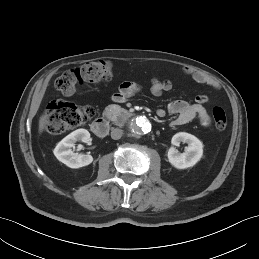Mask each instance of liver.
Segmentation results:
<instances>
[{"instance_id": "6515ba94", "label": "liver", "mask_w": 259, "mask_h": 259, "mask_svg": "<svg viewBox=\"0 0 259 259\" xmlns=\"http://www.w3.org/2000/svg\"><path fill=\"white\" fill-rule=\"evenodd\" d=\"M46 124V116L43 115L39 119V133H42Z\"/></svg>"}]
</instances>
